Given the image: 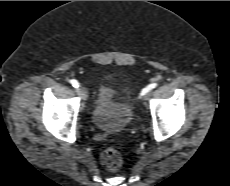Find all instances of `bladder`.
I'll use <instances>...</instances> for the list:
<instances>
[{
    "mask_svg": "<svg viewBox=\"0 0 230 186\" xmlns=\"http://www.w3.org/2000/svg\"><path fill=\"white\" fill-rule=\"evenodd\" d=\"M91 120L102 131L119 132L131 123L132 109L127 99L117 98L114 90L103 84L98 90Z\"/></svg>",
    "mask_w": 230,
    "mask_h": 186,
    "instance_id": "31cf9c89",
    "label": "bladder"
}]
</instances>
